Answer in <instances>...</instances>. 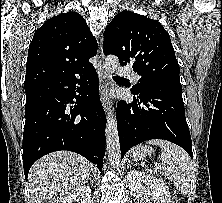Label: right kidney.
Segmentation results:
<instances>
[{"mask_svg": "<svg viewBox=\"0 0 222 203\" xmlns=\"http://www.w3.org/2000/svg\"><path fill=\"white\" fill-rule=\"evenodd\" d=\"M91 189L89 186H79L62 199L61 203H91Z\"/></svg>", "mask_w": 222, "mask_h": 203, "instance_id": "1", "label": "right kidney"}]
</instances>
